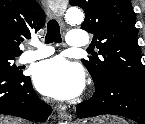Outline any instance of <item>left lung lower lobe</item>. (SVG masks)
Segmentation results:
<instances>
[{
  "mask_svg": "<svg viewBox=\"0 0 145 124\" xmlns=\"http://www.w3.org/2000/svg\"><path fill=\"white\" fill-rule=\"evenodd\" d=\"M79 118L102 114L123 116L145 124V87L144 81L131 77L112 78L86 102L76 106Z\"/></svg>",
  "mask_w": 145,
  "mask_h": 124,
  "instance_id": "1",
  "label": "left lung lower lobe"
}]
</instances>
